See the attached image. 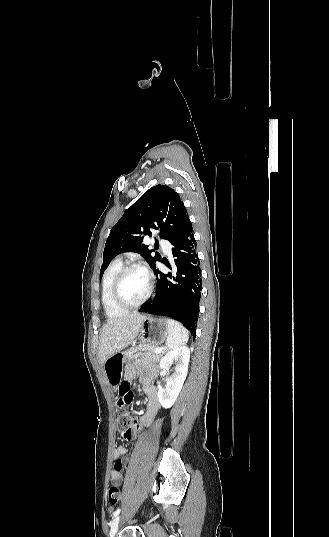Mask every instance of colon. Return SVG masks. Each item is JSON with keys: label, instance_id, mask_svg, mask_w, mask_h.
Returning a JSON list of instances; mask_svg holds the SVG:
<instances>
[{"label": "colon", "instance_id": "1", "mask_svg": "<svg viewBox=\"0 0 329 537\" xmlns=\"http://www.w3.org/2000/svg\"><path fill=\"white\" fill-rule=\"evenodd\" d=\"M123 407V406H122ZM135 416L128 411L122 410L117 417V430L120 433H127L135 423ZM121 492L118 487L111 486L108 493V501L112 505L119 503Z\"/></svg>", "mask_w": 329, "mask_h": 537}]
</instances>
